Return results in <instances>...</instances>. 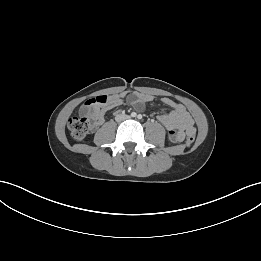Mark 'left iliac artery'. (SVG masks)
Returning <instances> with one entry per match:
<instances>
[{"label": "left iliac artery", "mask_w": 261, "mask_h": 261, "mask_svg": "<svg viewBox=\"0 0 261 261\" xmlns=\"http://www.w3.org/2000/svg\"><path fill=\"white\" fill-rule=\"evenodd\" d=\"M137 118H138V119H142V115L139 114V115L137 116Z\"/></svg>", "instance_id": "1"}]
</instances>
